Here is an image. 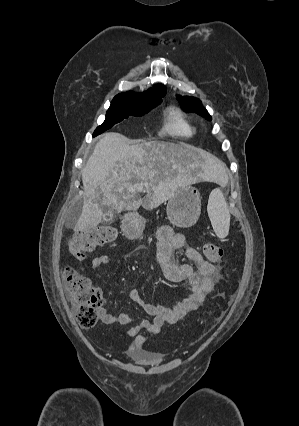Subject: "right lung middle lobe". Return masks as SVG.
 Segmentation results:
<instances>
[{"label":"right lung middle lobe","mask_w":299,"mask_h":426,"mask_svg":"<svg viewBox=\"0 0 299 426\" xmlns=\"http://www.w3.org/2000/svg\"><path fill=\"white\" fill-rule=\"evenodd\" d=\"M166 92H153L142 95L138 100L126 101L113 99L106 113L105 121L98 126L93 136L103 133L116 123L132 116H142L161 103Z\"/></svg>","instance_id":"dd1d6c3e"}]
</instances>
